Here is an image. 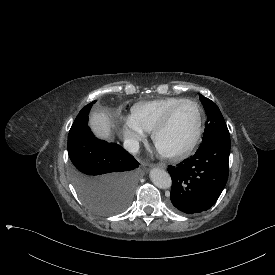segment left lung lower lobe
Here are the masks:
<instances>
[{
  "mask_svg": "<svg viewBox=\"0 0 275 275\" xmlns=\"http://www.w3.org/2000/svg\"><path fill=\"white\" fill-rule=\"evenodd\" d=\"M230 136L200 145L193 157L169 166L172 178L171 202L176 210L194 214L211 208L228 179Z\"/></svg>",
  "mask_w": 275,
  "mask_h": 275,
  "instance_id": "left-lung-lower-lobe-1",
  "label": "left lung lower lobe"
}]
</instances>
